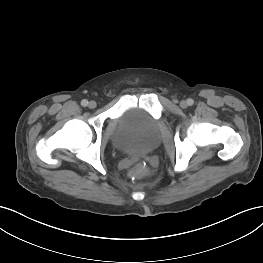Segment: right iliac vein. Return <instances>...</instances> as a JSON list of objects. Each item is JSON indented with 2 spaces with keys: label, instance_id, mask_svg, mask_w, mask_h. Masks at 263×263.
Instances as JSON below:
<instances>
[{
  "label": "right iliac vein",
  "instance_id": "63e3f726",
  "mask_svg": "<svg viewBox=\"0 0 263 263\" xmlns=\"http://www.w3.org/2000/svg\"><path fill=\"white\" fill-rule=\"evenodd\" d=\"M88 107L91 108V109L95 108L96 107V102L95 101H90L88 103Z\"/></svg>",
  "mask_w": 263,
  "mask_h": 263
}]
</instances>
